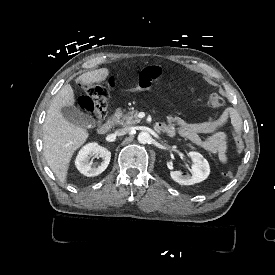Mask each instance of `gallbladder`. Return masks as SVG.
<instances>
[{"instance_id":"obj_1","label":"gallbladder","mask_w":275,"mask_h":275,"mask_svg":"<svg viewBox=\"0 0 275 275\" xmlns=\"http://www.w3.org/2000/svg\"><path fill=\"white\" fill-rule=\"evenodd\" d=\"M63 115L67 121L79 127L95 128L98 125V122L93 116L82 112L74 106L64 108Z\"/></svg>"}]
</instances>
